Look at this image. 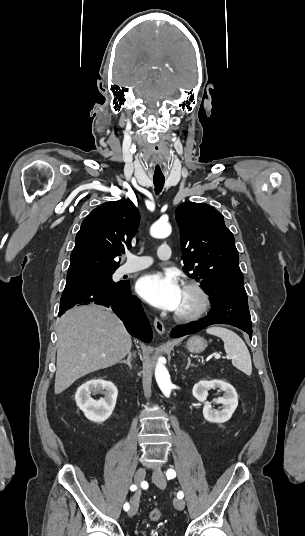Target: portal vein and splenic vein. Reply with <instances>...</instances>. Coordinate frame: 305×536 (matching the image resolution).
<instances>
[{
  "label": "portal vein and splenic vein",
  "instance_id": "portal-vein-and-splenic-vein-1",
  "mask_svg": "<svg viewBox=\"0 0 305 536\" xmlns=\"http://www.w3.org/2000/svg\"><path fill=\"white\" fill-rule=\"evenodd\" d=\"M215 358L216 360H219V358H221L220 354H215ZM227 360H230V358H227Z\"/></svg>",
  "mask_w": 305,
  "mask_h": 536
}]
</instances>
